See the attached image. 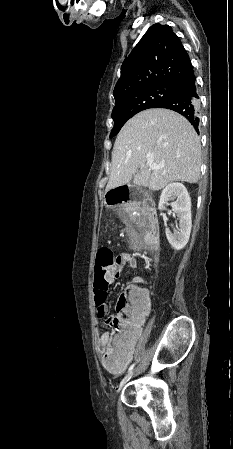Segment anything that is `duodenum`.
<instances>
[{"mask_svg": "<svg viewBox=\"0 0 233 449\" xmlns=\"http://www.w3.org/2000/svg\"><path fill=\"white\" fill-rule=\"evenodd\" d=\"M107 206H126L131 215L140 223L149 242L157 236L154 202L146 194L138 192L133 186H111L105 193Z\"/></svg>", "mask_w": 233, "mask_h": 449, "instance_id": "obj_1", "label": "duodenum"}]
</instances>
